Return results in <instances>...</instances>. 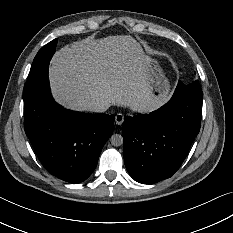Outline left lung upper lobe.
<instances>
[{
  "instance_id": "left-lung-upper-lobe-1",
  "label": "left lung upper lobe",
  "mask_w": 233,
  "mask_h": 233,
  "mask_svg": "<svg viewBox=\"0 0 233 233\" xmlns=\"http://www.w3.org/2000/svg\"><path fill=\"white\" fill-rule=\"evenodd\" d=\"M181 84H183V83L181 82ZM184 85L187 86V87H190V88H194V89H201L198 80L194 81L193 83L184 84Z\"/></svg>"
}]
</instances>
